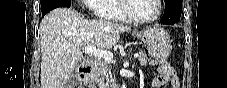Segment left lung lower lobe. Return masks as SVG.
<instances>
[{"label": "left lung lower lobe", "instance_id": "0a47b994", "mask_svg": "<svg viewBox=\"0 0 227 88\" xmlns=\"http://www.w3.org/2000/svg\"><path fill=\"white\" fill-rule=\"evenodd\" d=\"M182 12V0H170L165 3V12L161 24L174 25L180 20Z\"/></svg>", "mask_w": 227, "mask_h": 88}]
</instances>
